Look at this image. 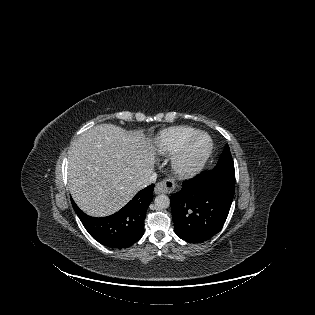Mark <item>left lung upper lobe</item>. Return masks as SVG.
<instances>
[{
	"label": "left lung upper lobe",
	"instance_id": "obj_1",
	"mask_svg": "<svg viewBox=\"0 0 315 315\" xmlns=\"http://www.w3.org/2000/svg\"><path fill=\"white\" fill-rule=\"evenodd\" d=\"M215 170H234V162L230 153L229 146L226 144L225 148L218 160Z\"/></svg>",
	"mask_w": 315,
	"mask_h": 315
}]
</instances>
